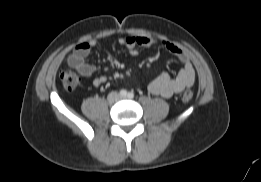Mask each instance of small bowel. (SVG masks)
I'll list each match as a JSON object with an SVG mask.
<instances>
[{
	"mask_svg": "<svg viewBox=\"0 0 261 182\" xmlns=\"http://www.w3.org/2000/svg\"><path fill=\"white\" fill-rule=\"evenodd\" d=\"M98 43L99 41L96 39L80 42L67 59V63L71 68L84 78L91 79L92 84L96 87L103 85L107 81V77L104 75L95 76L97 68L88 61L91 49ZM118 43L125 46L132 56L139 54V48L161 45L182 63V68L175 77H171L168 73L163 72L153 79L148 85V90L151 94L169 98L192 86L194 83L195 70L192 62L188 54L176 44L144 36L120 38Z\"/></svg>",
	"mask_w": 261,
	"mask_h": 182,
	"instance_id": "obj_1",
	"label": "small bowel"
}]
</instances>
